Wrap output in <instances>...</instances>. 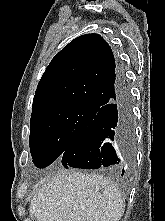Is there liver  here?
Masks as SVG:
<instances>
[{
  "label": "liver",
  "mask_w": 165,
  "mask_h": 221,
  "mask_svg": "<svg viewBox=\"0 0 165 221\" xmlns=\"http://www.w3.org/2000/svg\"><path fill=\"white\" fill-rule=\"evenodd\" d=\"M29 207L36 221H119L125 203L107 178L61 169L40 183Z\"/></svg>",
  "instance_id": "1"
}]
</instances>
